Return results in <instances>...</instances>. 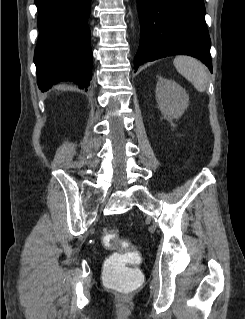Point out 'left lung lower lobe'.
I'll return each mask as SVG.
<instances>
[{"label": "left lung lower lobe", "mask_w": 245, "mask_h": 319, "mask_svg": "<svg viewBox=\"0 0 245 319\" xmlns=\"http://www.w3.org/2000/svg\"><path fill=\"white\" fill-rule=\"evenodd\" d=\"M141 22L135 70L170 55H190L212 72L211 41L203 0H137Z\"/></svg>", "instance_id": "left-lung-lower-lobe-1"}]
</instances>
